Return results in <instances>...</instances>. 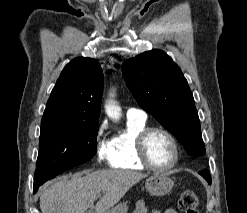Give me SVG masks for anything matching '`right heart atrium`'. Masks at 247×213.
Here are the masks:
<instances>
[{
  "label": "right heart atrium",
  "mask_w": 247,
  "mask_h": 213,
  "mask_svg": "<svg viewBox=\"0 0 247 213\" xmlns=\"http://www.w3.org/2000/svg\"><path fill=\"white\" fill-rule=\"evenodd\" d=\"M107 129V124L103 122L97 129L95 135V151L96 156L101 162H110L111 150L109 142L104 139V135Z\"/></svg>",
  "instance_id": "d8ad5b80"
}]
</instances>
